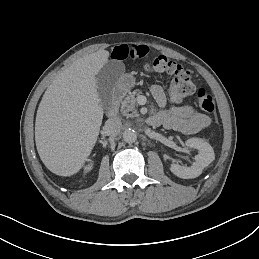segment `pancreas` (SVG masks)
Instances as JSON below:
<instances>
[{
	"mask_svg": "<svg viewBox=\"0 0 259 259\" xmlns=\"http://www.w3.org/2000/svg\"><path fill=\"white\" fill-rule=\"evenodd\" d=\"M141 93L142 91L140 89H137L124 99V101L121 104V110L123 111L125 116L135 117L137 115V96Z\"/></svg>",
	"mask_w": 259,
	"mask_h": 259,
	"instance_id": "cf45deb5",
	"label": "pancreas"
}]
</instances>
